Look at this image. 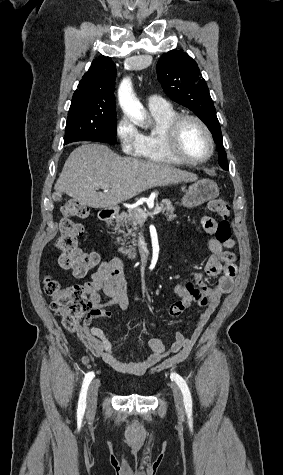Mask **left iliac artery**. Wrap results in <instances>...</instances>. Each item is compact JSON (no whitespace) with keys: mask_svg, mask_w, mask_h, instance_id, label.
Masks as SVG:
<instances>
[{"mask_svg":"<svg viewBox=\"0 0 283 475\" xmlns=\"http://www.w3.org/2000/svg\"><path fill=\"white\" fill-rule=\"evenodd\" d=\"M171 379L174 380L177 383V385L180 387L183 394V398H184V405H185L186 412L188 413V415H191L192 414V398H191V393L189 391V388L185 380L177 373H172Z\"/></svg>","mask_w":283,"mask_h":475,"instance_id":"1","label":"left iliac artery"}]
</instances>
